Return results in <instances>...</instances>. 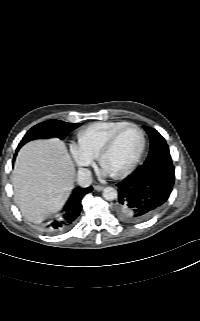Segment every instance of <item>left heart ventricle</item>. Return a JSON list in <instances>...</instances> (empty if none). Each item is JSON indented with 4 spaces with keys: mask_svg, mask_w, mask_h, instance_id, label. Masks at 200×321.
<instances>
[{
    "mask_svg": "<svg viewBox=\"0 0 200 321\" xmlns=\"http://www.w3.org/2000/svg\"><path fill=\"white\" fill-rule=\"evenodd\" d=\"M141 143V137L137 129L125 130L113 148L102 159V167L110 174H119L129 167L134 160Z\"/></svg>",
    "mask_w": 200,
    "mask_h": 321,
    "instance_id": "obj_1",
    "label": "left heart ventricle"
}]
</instances>
